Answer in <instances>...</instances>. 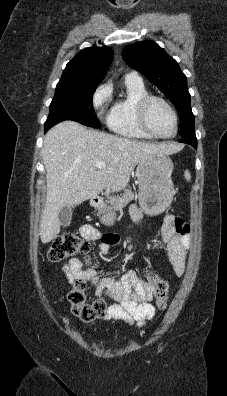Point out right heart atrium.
Returning a JSON list of instances; mask_svg holds the SVG:
<instances>
[{"label": "right heart atrium", "instance_id": "d8ad5b80", "mask_svg": "<svg viewBox=\"0 0 227 396\" xmlns=\"http://www.w3.org/2000/svg\"><path fill=\"white\" fill-rule=\"evenodd\" d=\"M111 96L110 89L107 85H100L92 97L93 108L96 112L101 113Z\"/></svg>", "mask_w": 227, "mask_h": 396}]
</instances>
